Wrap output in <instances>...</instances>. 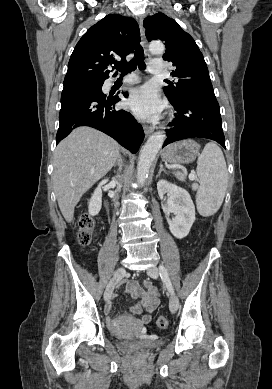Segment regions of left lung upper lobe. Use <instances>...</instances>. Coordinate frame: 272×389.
Segmentation results:
<instances>
[{
  "label": "left lung upper lobe",
  "instance_id": "1",
  "mask_svg": "<svg viewBox=\"0 0 272 389\" xmlns=\"http://www.w3.org/2000/svg\"><path fill=\"white\" fill-rule=\"evenodd\" d=\"M143 24L148 41L160 39L165 42L163 59L176 67L171 73L176 82L165 80L169 85L164 87V92L171 102H178L187 91L212 87L196 42L173 19L158 13L145 18Z\"/></svg>",
  "mask_w": 272,
  "mask_h": 389
}]
</instances>
